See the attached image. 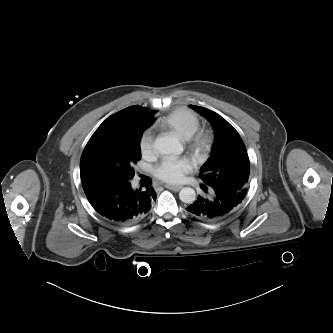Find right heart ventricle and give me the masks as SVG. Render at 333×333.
Segmentation results:
<instances>
[{"instance_id":"obj_1","label":"right heart ventricle","mask_w":333,"mask_h":333,"mask_svg":"<svg viewBox=\"0 0 333 333\" xmlns=\"http://www.w3.org/2000/svg\"><path fill=\"white\" fill-rule=\"evenodd\" d=\"M160 126L177 134L182 140L191 138L200 127L195 113L187 109H176L161 118Z\"/></svg>"}]
</instances>
